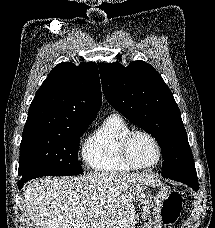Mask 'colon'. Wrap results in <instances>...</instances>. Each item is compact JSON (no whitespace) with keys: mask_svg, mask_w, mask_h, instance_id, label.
Masks as SVG:
<instances>
[{"mask_svg":"<svg viewBox=\"0 0 215 228\" xmlns=\"http://www.w3.org/2000/svg\"><path fill=\"white\" fill-rule=\"evenodd\" d=\"M182 210V199L178 192H171L161 208V219L165 225H172L179 219Z\"/></svg>","mask_w":215,"mask_h":228,"instance_id":"obj_1","label":"colon"}]
</instances>
